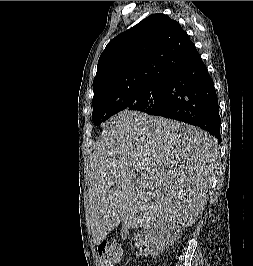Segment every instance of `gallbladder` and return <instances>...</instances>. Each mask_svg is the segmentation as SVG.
I'll list each match as a JSON object with an SVG mask.
<instances>
[{
    "label": "gallbladder",
    "instance_id": "1",
    "mask_svg": "<svg viewBox=\"0 0 253 266\" xmlns=\"http://www.w3.org/2000/svg\"><path fill=\"white\" fill-rule=\"evenodd\" d=\"M126 234H127V229L124 228V227H122V229H121V236L123 237V236H125Z\"/></svg>",
    "mask_w": 253,
    "mask_h": 266
}]
</instances>
